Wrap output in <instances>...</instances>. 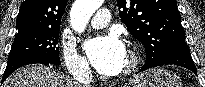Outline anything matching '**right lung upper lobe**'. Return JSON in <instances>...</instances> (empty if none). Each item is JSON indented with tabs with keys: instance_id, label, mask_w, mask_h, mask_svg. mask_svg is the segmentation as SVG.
I'll return each mask as SVG.
<instances>
[{
	"instance_id": "obj_1",
	"label": "right lung upper lobe",
	"mask_w": 205,
	"mask_h": 87,
	"mask_svg": "<svg viewBox=\"0 0 205 87\" xmlns=\"http://www.w3.org/2000/svg\"><path fill=\"white\" fill-rule=\"evenodd\" d=\"M67 0H25L19 10L16 26L19 31L59 29Z\"/></svg>"
}]
</instances>
